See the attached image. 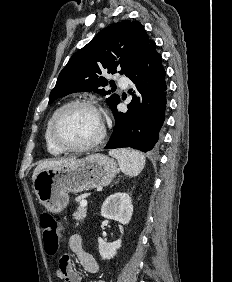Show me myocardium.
Returning a JSON list of instances; mask_svg holds the SVG:
<instances>
[{
	"mask_svg": "<svg viewBox=\"0 0 232 282\" xmlns=\"http://www.w3.org/2000/svg\"><path fill=\"white\" fill-rule=\"evenodd\" d=\"M73 106H84V107H88L91 108L92 110H94L98 116L100 117L101 120V131L100 134L98 135V137L93 140L92 142H89L87 144H83V145H68L63 143L56 135V123L58 121V118L60 117V115L68 108L73 107ZM49 135L50 138L52 140V142L54 143V145L56 147H58L60 150L62 151H66V152H81V151H87V150H91L93 148H96L97 146H99L103 140L105 139L106 136V126H105V122L103 120V117L101 115V112L97 106V104L91 100H87V99H77V100H72L69 101L65 104H63L61 107H59L55 113L53 114V116L51 117L50 120V124H49Z\"/></svg>",
	"mask_w": 232,
	"mask_h": 282,
	"instance_id": "1",
	"label": "myocardium"
}]
</instances>
